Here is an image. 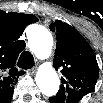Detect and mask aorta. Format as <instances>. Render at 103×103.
Returning a JSON list of instances; mask_svg holds the SVG:
<instances>
[{"instance_id": "aorta-1", "label": "aorta", "mask_w": 103, "mask_h": 103, "mask_svg": "<svg viewBox=\"0 0 103 103\" xmlns=\"http://www.w3.org/2000/svg\"><path fill=\"white\" fill-rule=\"evenodd\" d=\"M28 45L38 59H46L51 55L52 35L44 26L34 25L28 34ZM35 81L41 93L46 96H54L59 90V77L50 65L44 64L39 68Z\"/></svg>"}]
</instances>
